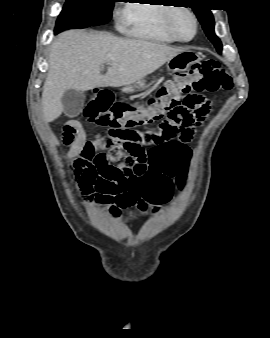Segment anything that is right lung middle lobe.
<instances>
[{"mask_svg":"<svg viewBox=\"0 0 270 338\" xmlns=\"http://www.w3.org/2000/svg\"><path fill=\"white\" fill-rule=\"evenodd\" d=\"M117 0H66L55 27V34L72 28H86L110 21Z\"/></svg>","mask_w":270,"mask_h":338,"instance_id":"dd1d6c3e","label":"right lung middle lobe"}]
</instances>
